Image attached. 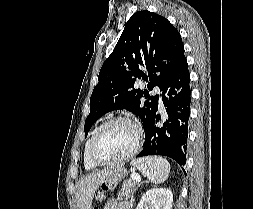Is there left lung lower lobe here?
I'll return each mask as SVG.
<instances>
[{
    "label": "left lung lower lobe",
    "mask_w": 253,
    "mask_h": 209,
    "mask_svg": "<svg viewBox=\"0 0 253 209\" xmlns=\"http://www.w3.org/2000/svg\"><path fill=\"white\" fill-rule=\"evenodd\" d=\"M166 120L156 113L145 131L143 150L137 157L162 155L174 159L183 169L186 162L190 117V74L186 58L176 67L162 87ZM161 121V122H159Z\"/></svg>",
    "instance_id": "0a47b994"
}]
</instances>
